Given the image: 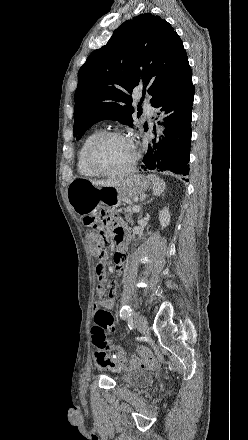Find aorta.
Listing matches in <instances>:
<instances>
[{
  "label": "aorta",
  "instance_id": "762f6f07",
  "mask_svg": "<svg viewBox=\"0 0 248 440\" xmlns=\"http://www.w3.org/2000/svg\"><path fill=\"white\" fill-rule=\"evenodd\" d=\"M161 121H163V120H161ZM163 130H164V126H160L157 128V138H159V136L163 134Z\"/></svg>",
  "mask_w": 248,
  "mask_h": 440
}]
</instances>
